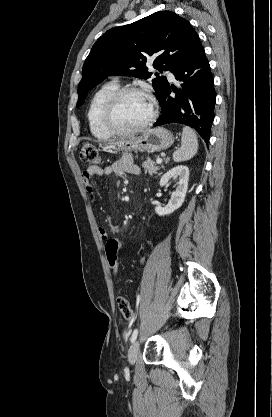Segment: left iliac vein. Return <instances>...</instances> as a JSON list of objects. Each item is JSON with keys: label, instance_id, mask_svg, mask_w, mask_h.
<instances>
[{"label": "left iliac vein", "instance_id": "obj_1", "mask_svg": "<svg viewBox=\"0 0 272 417\" xmlns=\"http://www.w3.org/2000/svg\"><path fill=\"white\" fill-rule=\"evenodd\" d=\"M139 348V341L134 342V344L130 347L128 351V360L131 364H134L136 362L137 356L139 354Z\"/></svg>", "mask_w": 272, "mask_h": 417}]
</instances>
